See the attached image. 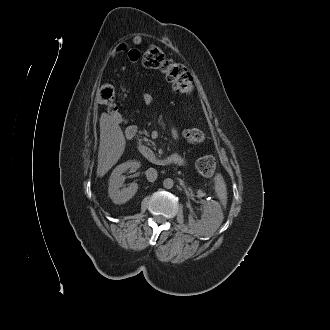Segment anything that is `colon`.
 Instances as JSON below:
<instances>
[{
  "label": "colon",
  "mask_w": 330,
  "mask_h": 330,
  "mask_svg": "<svg viewBox=\"0 0 330 330\" xmlns=\"http://www.w3.org/2000/svg\"><path fill=\"white\" fill-rule=\"evenodd\" d=\"M132 55L136 56L135 52ZM142 65L146 69L159 70L164 78L171 83L172 91L177 95L189 96L194 90V79L187 68L180 63L169 60L163 51L157 46H150L142 55ZM101 103L109 108L111 116L117 122H123L124 117L117 111L114 105L115 89L110 84H104L98 91ZM184 139L190 144L201 143L205 135L198 129H186L183 131ZM196 168L203 176H211L216 168V162L211 156H204L197 160Z\"/></svg>",
  "instance_id": "1"
}]
</instances>
